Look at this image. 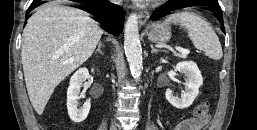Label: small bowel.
Here are the masks:
<instances>
[{
	"mask_svg": "<svg viewBox=\"0 0 257 130\" xmlns=\"http://www.w3.org/2000/svg\"><path fill=\"white\" fill-rule=\"evenodd\" d=\"M207 121V116L202 119H186L174 125L172 130H200Z\"/></svg>",
	"mask_w": 257,
	"mask_h": 130,
	"instance_id": "1",
	"label": "small bowel"
}]
</instances>
